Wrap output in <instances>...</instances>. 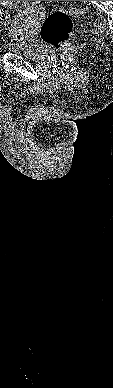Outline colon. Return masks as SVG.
<instances>
[{
    "mask_svg": "<svg viewBox=\"0 0 113 388\" xmlns=\"http://www.w3.org/2000/svg\"><path fill=\"white\" fill-rule=\"evenodd\" d=\"M23 7L28 2H20ZM0 23L9 29H13L14 21L10 15L0 9ZM73 29L72 14L69 11L56 9L51 11L43 20L40 33L44 41L57 49L67 46Z\"/></svg>",
    "mask_w": 113,
    "mask_h": 388,
    "instance_id": "obj_1",
    "label": "colon"
}]
</instances>
